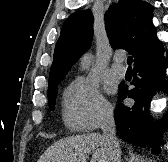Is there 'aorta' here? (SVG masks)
I'll use <instances>...</instances> for the list:
<instances>
[{"instance_id":"aorta-1","label":"aorta","mask_w":168,"mask_h":162,"mask_svg":"<svg viewBox=\"0 0 168 162\" xmlns=\"http://www.w3.org/2000/svg\"><path fill=\"white\" fill-rule=\"evenodd\" d=\"M91 59H92V54L91 53H87L83 57V59H82V68L83 69L88 68V66L90 65Z\"/></svg>"}]
</instances>
